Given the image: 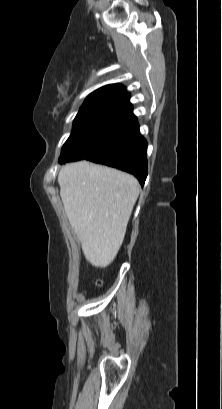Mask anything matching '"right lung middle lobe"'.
I'll return each mask as SVG.
<instances>
[{"label":"right lung middle lobe","instance_id":"dd1d6c3e","mask_svg":"<svg viewBox=\"0 0 222 409\" xmlns=\"http://www.w3.org/2000/svg\"><path fill=\"white\" fill-rule=\"evenodd\" d=\"M126 111L123 107L80 109L74 119L73 131L62 148L59 163L81 160L98 150Z\"/></svg>","mask_w":222,"mask_h":409}]
</instances>
